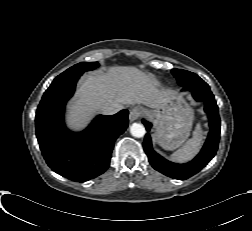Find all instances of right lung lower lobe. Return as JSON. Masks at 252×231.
<instances>
[{"label":"right lung lower lobe","mask_w":252,"mask_h":231,"mask_svg":"<svg viewBox=\"0 0 252 231\" xmlns=\"http://www.w3.org/2000/svg\"><path fill=\"white\" fill-rule=\"evenodd\" d=\"M78 79L51 85L46 90L37 108L35 124L40 149L49 167L70 180L84 182L109 167L114 142L128 126V111L99 115L84 131H69L63 122L64 108Z\"/></svg>","instance_id":"obj_1"}]
</instances>
